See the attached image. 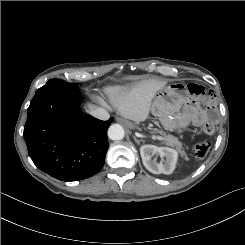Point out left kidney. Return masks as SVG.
Returning <instances> with one entry per match:
<instances>
[{
	"label": "left kidney",
	"instance_id": "left-kidney-1",
	"mask_svg": "<svg viewBox=\"0 0 245 245\" xmlns=\"http://www.w3.org/2000/svg\"><path fill=\"white\" fill-rule=\"evenodd\" d=\"M140 154L145 168L154 174H171L176 167L178 153L174 149L143 145L140 148ZM154 155L160 156L161 161L159 163L156 158L151 159Z\"/></svg>",
	"mask_w": 245,
	"mask_h": 245
}]
</instances>
